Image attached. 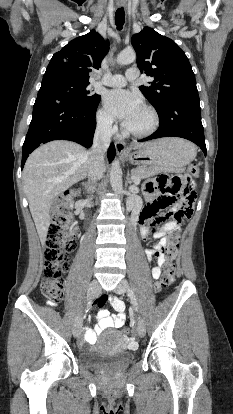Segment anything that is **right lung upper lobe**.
Segmentation results:
<instances>
[{
  "instance_id": "1",
  "label": "right lung upper lobe",
  "mask_w": 233,
  "mask_h": 414,
  "mask_svg": "<svg viewBox=\"0 0 233 414\" xmlns=\"http://www.w3.org/2000/svg\"><path fill=\"white\" fill-rule=\"evenodd\" d=\"M109 50L100 34L94 30L70 41L61 51L55 53L44 76H62L89 82L91 68L99 69L101 61Z\"/></svg>"
}]
</instances>
